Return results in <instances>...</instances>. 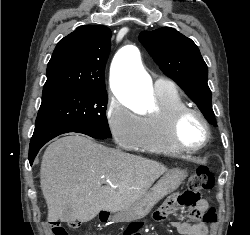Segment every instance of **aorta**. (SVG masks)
Segmentation results:
<instances>
[{
    "label": "aorta",
    "mask_w": 250,
    "mask_h": 235,
    "mask_svg": "<svg viewBox=\"0 0 250 235\" xmlns=\"http://www.w3.org/2000/svg\"><path fill=\"white\" fill-rule=\"evenodd\" d=\"M110 80L115 95L128 106L144 104L152 92L151 78L142 67L139 51L133 45L124 46L116 54Z\"/></svg>",
    "instance_id": "1"
}]
</instances>
